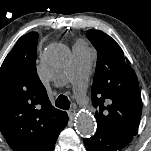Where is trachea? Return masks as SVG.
<instances>
[{
  "instance_id": "3493384b",
  "label": "trachea",
  "mask_w": 151,
  "mask_h": 151,
  "mask_svg": "<svg viewBox=\"0 0 151 151\" xmlns=\"http://www.w3.org/2000/svg\"><path fill=\"white\" fill-rule=\"evenodd\" d=\"M56 107L64 110H69L70 101L65 95H60L55 101Z\"/></svg>"
}]
</instances>
